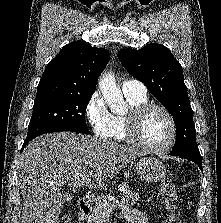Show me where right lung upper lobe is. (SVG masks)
Returning <instances> with one entry per match:
<instances>
[{
    "instance_id": "cb5924a9",
    "label": "right lung upper lobe",
    "mask_w": 221,
    "mask_h": 223,
    "mask_svg": "<svg viewBox=\"0 0 221 223\" xmlns=\"http://www.w3.org/2000/svg\"><path fill=\"white\" fill-rule=\"evenodd\" d=\"M109 61V52L74 41L52 59L38 84L36 100L56 96L92 95L99 75Z\"/></svg>"
}]
</instances>
